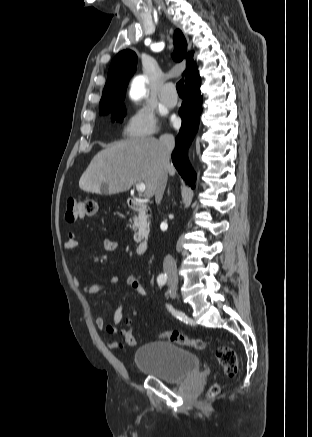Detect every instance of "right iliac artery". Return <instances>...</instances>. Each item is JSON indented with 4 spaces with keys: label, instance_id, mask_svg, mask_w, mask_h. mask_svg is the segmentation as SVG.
I'll use <instances>...</instances> for the list:
<instances>
[{
    "label": "right iliac artery",
    "instance_id": "82829eb1",
    "mask_svg": "<svg viewBox=\"0 0 312 437\" xmlns=\"http://www.w3.org/2000/svg\"><path fill=\"white\" fill-rule=\"evenodd\" d=\"M167 282V275L166 274H160L157 277V283L160 287H163L165 285V283ZM167 308L169 309V311L172 312V314H175L174 309L172 308L171 305H167Z\"/></svg>",
    "mask_w": 312,
    "mask_h": 437
}]
</instances>
